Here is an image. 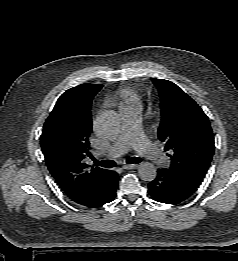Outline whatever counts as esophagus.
Masks as SVG:
<instances>
[{
	"label": "esophagus",
	"mask_w": 238,
	"mask_h": 261,
	"mask_svg": "<svg viewBox=\"0 0 238 261\" xmlns=\"http://www.w3.org/2000/svg\"><path fill=\"white\" fill-rule=\"evenodd\" d=\"M138 167H139L138 164H124V165H123V168H124V169H136V168H138Z\"/></svg>",
	"instance_id": "34e87169"
}]
</instances>
